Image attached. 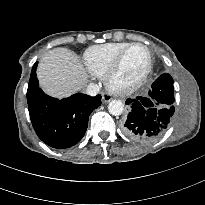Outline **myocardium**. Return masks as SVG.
<instances>
[{"mask_svg":"<svg viewBox=\"0 0 205 205\" xmlns=\"http://www.w3.org/2000/svg\"><path fill=\"white\" fill-rule=\"evenodd\" d=\"M137 46L143 47L147 51L148 63L146 68L134 81L130 83H124V84L118 83L116 81V77L120 71L125 56L132 48ZM152 65H153V57L150 48L143 43H131L123 51H121V53L116 57V59L114 60V62L112 63V65L110 66L106 74L104 75L105 86L108 90L116 94H130L138 90L145 83L152 70Z\"/></svg>","mask_w":205,"mask_h":205,"instance_id":"1","label":"myocardium"}]
</instances>
